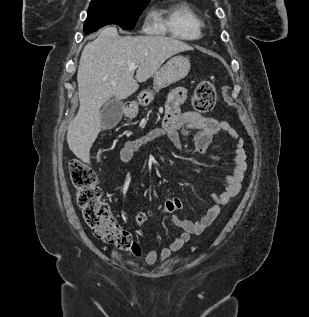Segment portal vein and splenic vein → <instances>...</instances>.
<instances>
[{"instance_id": "obj_1", "label": "portal vein and splenic vein", "mask_w": 309, "mask_h": 317, "mask_svg": "<svg viewBox=\"0 0 309 317\" xmlns=\"http://www.w3.org/2000/svg\"><path fill=\"white\" fill-rule=\"evenodd\" d=\"M138 66L135 63H130L129 65V71H133L137 68Z\"/></svg>"}]
</instances>
